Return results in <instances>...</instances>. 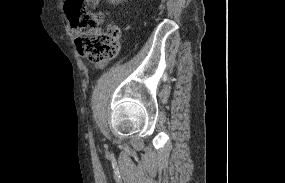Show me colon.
Listing matches in <instances>:
<instances>
[{
  "label": "colon",
  "mask_w": 285,
  "mask_h": 183,
  "mask_svg": "<svg viewBox=\"0 0 285 183\" xmlns=\"http://www.w3.org/2000/svg\"><path fill=\"white\" fill-rule=\"evenodd\" d=\"M86 1L66 0L64 6L71 31L75 34L76 48L81 55L92 61L113 58L120 49V29L117 26H111L102 30L100 25L103 14L87 9Z\"/></svg>",
  "instance_id": "colon-1"
}]
</instances>
